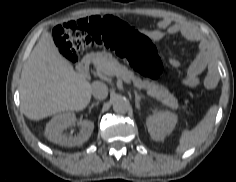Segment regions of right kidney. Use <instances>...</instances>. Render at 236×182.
<instances>
[{
	"instance_id": "ca27d5eb",
	"label": "right kidney",
	"mask_w": 236,
	"mask_h": 182,
	"mask_svg": "<svg viewBox=\"0 0 236 182\" xmlns=\"http://www.w3.org/2000/svg\"><path fill=\"white\" fill-rule=\"evenodd\" d=\"M78 124L80 131L76 135L64 134L70 126ZM94 129V123L88 120L77 121L73 113L67 112L54 116L46 125L45 136L53 143L62 146H80L91 136Z\"/></svg>"
}]
</instances>
